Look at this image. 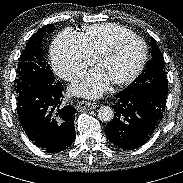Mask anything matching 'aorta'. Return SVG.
Listing matches in <instances>:
<instances>
[{"label":"aorta","mask_w":183,"mask_h":183,"mask_svg":"<svg viewBox=\"0 0 183 183\" xmlns=\"http://www.w3.org/2000/svg\"><path fill=\"white\" fill-rule=\"evenodd\" d=\"M98 117L101 121L110 122L114 118V110L109 106H101L98 109Z\"/></svg>","instance_id":"obj_1"}]
</instances>
